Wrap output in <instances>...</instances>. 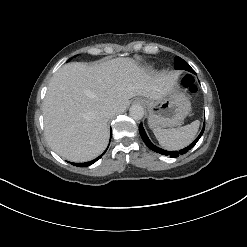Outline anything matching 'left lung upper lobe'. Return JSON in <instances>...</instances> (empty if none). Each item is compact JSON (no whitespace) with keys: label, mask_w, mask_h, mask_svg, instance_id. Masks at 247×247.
Here are the masks:
<instances>
[{"label":"left lung upper lobe","mask_w":247,"mask_h":247,"mask_svg":"<svg viewBox=\"0 0 247 247\" xmlns=\"http://www.w3.org/2000/svg\"><path fill=\"white\" fill-rule=\"evenodd\" d=\"M174 68L182 69L194 73L195 71L189 66V64L180 57L174 59Z\"/></svg>","instance_id":"5c2ea615"}]
</instances>
